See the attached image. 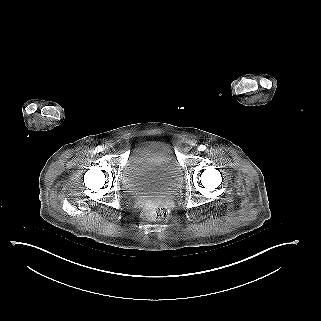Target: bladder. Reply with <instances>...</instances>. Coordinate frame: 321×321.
Returning a JSON list of instances; mask_svg holds the SVG:
<instances>
[{
  "mask_svg": "<svg viewBox=\"0 0 321 321\" xmlns=\"http://www.w3.org/2000/svg\"><path fill=\"white\" fill-rule=\"evenodd\" d=\"M182 181L175 150L162 140L139 141L121 172L123 190L132 197L168 195L179 189Z\"/></svg>",
  "mask_w": 321,
  "mask_h": 321,
  "instance_id": "obj_1",
  "label": "bladder"
}]
</instances>
